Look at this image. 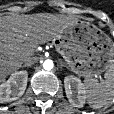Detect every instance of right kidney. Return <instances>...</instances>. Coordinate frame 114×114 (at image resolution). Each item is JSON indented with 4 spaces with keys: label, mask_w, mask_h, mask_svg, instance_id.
Segmentation results:
<instances>
[{
    "label": "right kidney",
    "mask_w": 114,
    "mask_h": 114,
    "mask_svg": "<svg viewBox=\"0 0 114 114\" xmlns=\"http://www.w3.org/2000/svg\"><path fill=\"white\" fill-rule=\"evenodd\" d=\"M27 81V71L12 73L10 78L0 85V103L11 102L20 98L26 90Z\"/></svg>",
    "instance_id": "1"
}]
</instances>
